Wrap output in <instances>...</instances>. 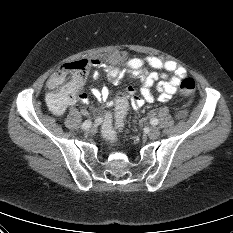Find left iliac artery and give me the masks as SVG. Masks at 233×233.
<instances>
[{"label":"left iliac artery","mask_w":233,"mask_h":233,"mask_svg":"<svg viewBox=\"0 0 233 233\" xmlns=\"http://www.w3.org/2000/svg\"><path fill=\"white\" fill-rule=\"evenodd\" d=\"M150 123L152 125H157L158 124V119L157 118H152L151 121H150Z\"/></svg>","instance_id":"obj_1"}]
</instances>
